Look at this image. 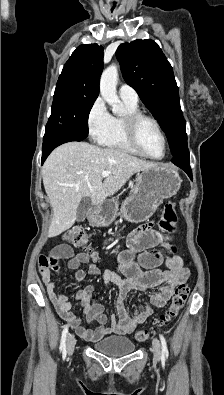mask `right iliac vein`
<instances>
[{
  "label": "right iliac vein",
  "mask_w": 224,
  "mask_h": 395,
  "mask_svg": "<svg viewBox=\"0 0 224 395\" xmlns=\"http://www.w3.org/2000/svg\"><path fill=\"white\" fill-rule=\"evenodd\" d=\"M75 344H76L75 336H74L73 334H70V335L68 336V338H67V344H66L67 353H68L69 355H72V353H73V351H74V348H75Z\"/></svg>",
  "instance_id": "1"
}]
</instances>
